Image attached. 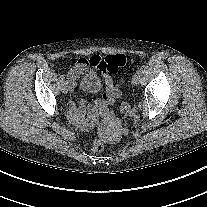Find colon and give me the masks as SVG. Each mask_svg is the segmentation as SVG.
Wrapping results in <instances>:
<instances>
[{
    "mask_svg": "<svg viewBox=\"0 0 207 207\" xmlns=\"http://www.w3.org/2000/svg\"><path fill=\"white\" fill-rule=\"evenodd\" d=\"M92 65L99 68L104 75H111L119 72L126 64V58L123 55H114L109 56L104 59H93L90 62ZM89 65V63H85V66ZM78 66V65H77ZM121 111L123 112L125 119L128 118L132 114V107L128 100H123L120 105ZM127 127L125 126L122 129V132H126ZM90 146L93 151L101 152L104 149L103 142L98 138H93L90 142Z\"/></svg>",
    "mask_w": 207,
    "mask_h": 207,
    "instance_id": "1",
    "label": "colon"
}]
</instances>
